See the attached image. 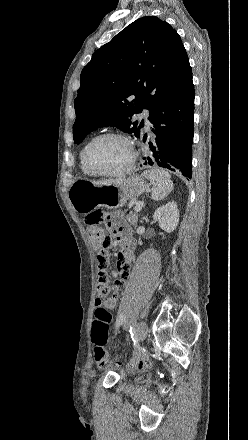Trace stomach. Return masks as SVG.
I'll list each match as a JSON object with an SVG mask.
<instances>
[{"label": "stomach", "mask_w": 248, "mask_h": 440, "mask_svg": "<svg viewBox=\"0 0 248 440\" xmlns=\"http://www.w3.org/2000/svg\"><path fill=\"white\" fill-rule=\"evenodd\" d=\"M147 187L145 180L137 175L111 184L77 180L69 188L68 199L79 213H88L99 206L115 209L140 196Z\"/></svg>", "instance_id": "1"}]
</instances>
